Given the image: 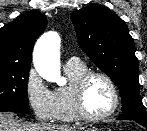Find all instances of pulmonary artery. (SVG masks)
<instances>
[{"label":"pulmonary artery","instance_id":"pulmonary-artery-1","mask_svg":"<svg viewBox=\"0 0 147 131\" xmlns=\"http://www.w3.org/2000/svg\"><path fill=\"white\" fill-rule=\"evenodd\" d=\"M81 61L77 57H70L66 60V64H79Z\"/></svg>","mask_w":147,"mask_h":131}]
</instances>
